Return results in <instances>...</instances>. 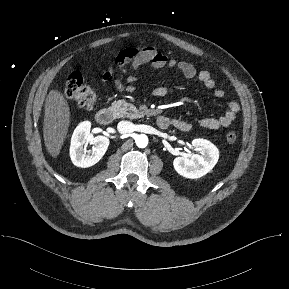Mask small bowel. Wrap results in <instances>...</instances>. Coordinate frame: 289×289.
Segmentation results:
<instances>
[{
    "instance_id": "1",
    "label": "small bowel",
    "mask_w": 289,
    "mask_h": 289,
    "mask_svg": "<svg viewBox=\"0 0 289 289\" xmlns=\"http://www.w3.org/2000/svg\"><path fill=\"white\" fill-rule=\"evenodd\" d=\"M128 65L132 66L134 69H143L145 67L153 69L176 68L184 77L188 79H198L206 89L212 90L215 98L220 99L225 96V92L216 87V82L209 71H198L193 64L186 61L172 59L163 53H159L154 47H129L119 51L111 61L109 67L103 73L102 81H109L113 76L114 67L117 66L122 72L114 82L117 91H125L128 93L133 92L135 89L133 83L136 81V77L128 76L126 78L127 84H125L123 80L125 69ZM166 94L167 88L164 86L156 87L153 90V95L156 97H164ZM239 110V103L232 101L229 103L224 114L219 117L200 119L198 125L209 130H218L220 128L228 127L235 120ZM171 124L180 131H189L191 129V124L181 119H172Z\"/></svg>"
}]
</instances>
